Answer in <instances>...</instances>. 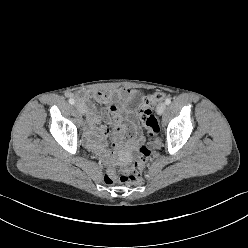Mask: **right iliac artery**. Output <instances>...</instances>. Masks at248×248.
<instances>
[{
  "instance_id": "obj_1",
  "label": "right iliac artery",
  "mask_w": 248,
  "mask_h": 248,
  "mask_svg": "<svg viewBox=\"0 0 248 248\" xmlns=\"http://www.w3.org/2000/svg\"><path fill=\"white\" fill-rule=\"evenodd\" d=\"M69 103H70L71 105H73V104L75 103L74 99L70 98V99H69Z\"/></svg>"
}]
</instances>
